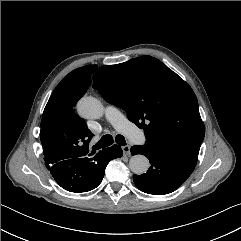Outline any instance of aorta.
<instances>
[{"label": "aorta", "mask_w": 241, "mask_h": 241, "mask_svg": "<svg viewBox=\"0 0 241 241\" xmlns=\"http://www.w3.org/2000/svg\"><path fill=\"white\" fill-rule=\"evenodd\" d=\"M79 114L86 119H99L104 114L102 103L91 96L81 98L77 104ZM150 163L147 157L137 154L131 157L129 167L134 174L142 175L149 169Z\"/></svg>", "instance_id": "aorta-1"}]
</instances>
